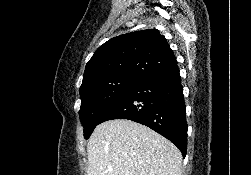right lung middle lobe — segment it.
<instances>
[{"label":"right lung middle lobe","instance_id":"right-lung-middle-lobe-1","mask_svg":"<svg viewBox=\"0 0 251 175\" xmlns=\"http://www.w3.org/2000/svg\"><path fill=\"white\" fill-rule=\"evenodd\" d=\"M141 79L118 76L110 80L92 83L80 88V121L84 127V138L88 139L102 114L112 106L129 88Z\"/></svg>","mask_w":251,"mask_h":175}]
</instances>
